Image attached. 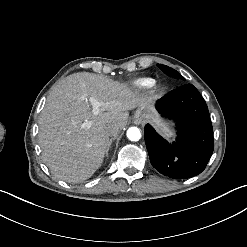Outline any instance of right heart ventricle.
Segmentation results:
<instances>
[{
	"label": "right heart ventricle",
	"mask_w": 247,
	"mask_h": 247,
	"mask_svg": "<svg viewBox=\"0 0 247 247\" xmlns=\"http://www.w3.org/2000/svg\"><path fill=\"white\" fill-rule=\"evenodd\" d=\"M156 81L153 78H140L134 81V86L140 89H148L154 86Z\"/></svg>",
	"instance_id": "1"
}]
</instances>
